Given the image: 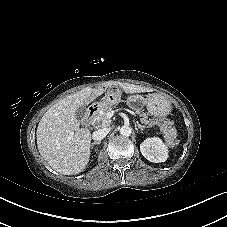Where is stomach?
<instances>
[{
    "label": "stomach",
    "instance_id": "obj_1",
    "mask_svg": "<svg viewBox=\"0 0 227 227\" xmlns=\"http://www.w3.org/2000/svg\"><path fill=\"white\" fill-rule=\"evenodd\" d=\"M121 97L122 91L119 87L111 86L107 90L105 103L111 105L117 104L120 102ZM127 102L130 104H145L148 111L157 117H165L171 111V103L165 96L159 93L148 94L146 97L142 95H132L127 98Z\"/></svg>",
    "mask_w": 227,
    "mask_h": 227
}]
</instances>
